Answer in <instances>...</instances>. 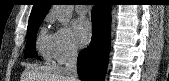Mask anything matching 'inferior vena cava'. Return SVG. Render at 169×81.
<instances>
[{
	"label": "inferior vena cava",
	"mask_w": 169,
	"mask_h": 81,
	"mask_svg": "<svg viewBox=\"0 0 169 81\" xmlns=\"http://www.w3.org/2000/svg\"><path fill=\"white\" fill-rule=\"evenodd\" d=\"M77 57L78 50L75 46H70L67 51V61L64 71L71 81H78L77 75Z\"/></svg>",
	"instance_id": "602c4592"
}]
</instances>
